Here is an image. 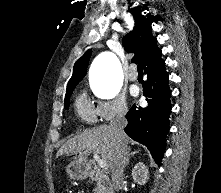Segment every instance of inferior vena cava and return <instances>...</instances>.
<instances>
[{"label": "inferior vena cava", "mask_w": 221, "mask_h": 193, "mask_svg": "<svg viewBox=\"0 0 221 193\" xmlns=\"http://www.w3.org/2000/svg\"><path fill=\"white\" fill-rule=\"evenodd\" d=\"M126 111L122 110L118 113L117 117L111 121L110 126L113 128L116 135L115 153L110 165L111 179L115 191H119L122 185L124 168L128 155V147L123 142L124 127L127 125L125 118Z\"/></svg>", "instance_id": "602c4592"}]
</instances>
